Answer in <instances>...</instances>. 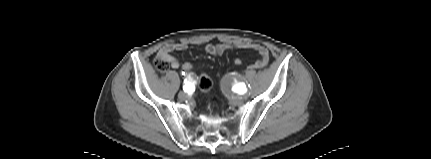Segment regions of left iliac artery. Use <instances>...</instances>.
<instances>
[{
    "label": "left iliac artery",
    "instance_id": "left-iliac-artery-1",
    "mask_svg": "<svg viewBox=\"0 0 431 159\" xmlns=\"http://www.w3.org/2000/svg\"><path fill=\"white\" fill-rule=\"evenodd\" d=\"M237 88H238V92H239L240 94H243V93H245V92L247 91L246 86H245V84H244V83H239V84L237 85Z\"/></svg>",
    "mask_w": 431,
    "mask_h": 159
}]
</instances>
